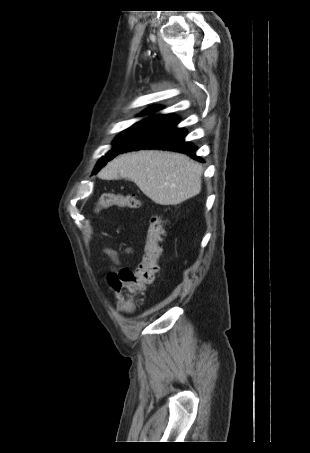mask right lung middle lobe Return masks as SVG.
I'll use <instances>...</instances> for the list:
<instances>
[{"label":"right lung middle lobe","mask_w":310,"mask_h":453,"mask_svg":"<svg viewBox=\"0 0 310 453\" xmlns=\"http://www.w3.org/2000/svg\"><path fill=\"white\" fill-rule=\"evenodd\" d=\"M156 120V118L143 119L119 134L113 143V148L97 163L94 174L97 173L108 161L118 155L133 139L140 135Z\"/></svg>","instance_id":"dd1d6c3e"}]
</instances>
